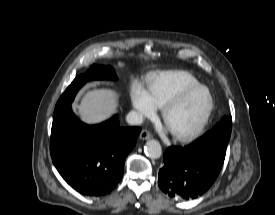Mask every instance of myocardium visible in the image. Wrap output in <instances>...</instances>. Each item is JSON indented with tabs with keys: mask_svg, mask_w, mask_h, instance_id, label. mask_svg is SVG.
<instances>
[{
	"mask_svg": "<svg viewBox=\"0 0 275 215\" xmlns=\"http://www.w3.org/2000/svg\"><path fill=\"white\" fill-rule=\"evenodd\" d=\"M197 90H205L208 94V98H209V105L208 108L204 114V116L202 117V119L200 120V122L193 127L192 129L186 131V132H182V133H176V132H172V135L175 139L180 140V141H188L193 139L194 137H196L206 126V124L208 123L211 114L213 112L214 109V98L212 95V92L210 91V89L202 84H197V85H193V86H189L187 88H184L183 90H181L180 92H178L175 96H173L164 106H163V110H162V117L163 120L165 122V124H167V118L169 113L176 107L178 106L183 99L188 96L189 94L197 91Z\"/></svg>",
	"mask_w": 275,
	"mask_h": 215,
	"instance_id": "f54148a6",
	"label": "myocardium"
}]
</instances>
